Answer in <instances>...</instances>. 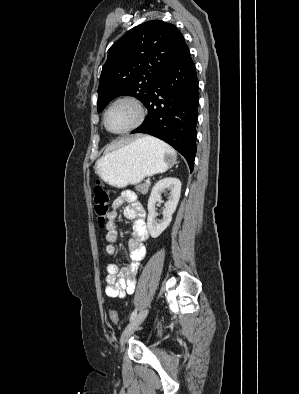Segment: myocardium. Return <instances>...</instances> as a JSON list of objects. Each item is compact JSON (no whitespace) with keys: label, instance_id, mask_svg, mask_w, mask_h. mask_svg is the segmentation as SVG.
Returning <instances> with one entry per match:
<instances>
[{"label":"myocardium","instance_id":"myocardium-1","mask_svg":"<svg viewBox=\"0 0 299 394\" xmlns=\"http://www.w3.org/2000/svg\"><path fill=\"white\" fill-rule=\"evenodd\" d=\"M120 103H128V104L132 105L136 111V119L133 122V124L130 125L128 128L121 130V131H112L107 126V115H108L109 111L114 106H116L117 104H120ZM145 117H146V112H145V109H144L143 105L141 104V102L134 97L124 96V97H120V98L115 99L106 108V110L104 111V114H103V125L109 133L115 134V135H123V134L130 133V132L134 131L135 129H137L144 122Z\"/></svg>","mask_w":299,"mask_h":394}]
</instances>
